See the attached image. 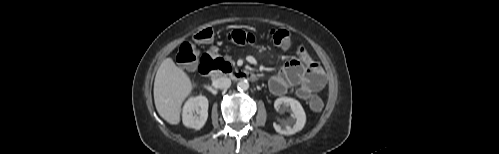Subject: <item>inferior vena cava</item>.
<instances>
[{"label": "inferior vena cava", "mask_w": 499, "mask_h": 154, "mask_svg": "<svg viewBox=\"0 0 499 154\" xmlns=\"http://www.w3.org/2000/svg\"><path fill=\"white\" fill-rule=\"evenodd\" d=\"M214 85L219 89H227L231 86V80L227 77H221L214 81Z\"/></svg>", "instance_id": "inferior-vena-cava-1"}]
</instances>
